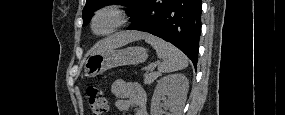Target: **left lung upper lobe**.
Returning <instances> with one entry per match:
<instances>
[{
    "label": "left lung upper lobe",
    "mask_w": 285,
    "mask_h": 115,
    "mask_svg": "<svg viewBox=\"0 0 285 115\" xmlns=\"http://www.w3.org/2000/svg\"><path fill=\"white\" fill-rule=\"evenodd\" d=\"M142 0H87L82 12L83 26H86L91 20L94 11L110 4H119L127 6V14L131 15Z\"/></svg>",
    "instance_id": "obj_1"
}]
</instances>
